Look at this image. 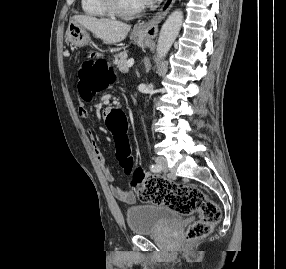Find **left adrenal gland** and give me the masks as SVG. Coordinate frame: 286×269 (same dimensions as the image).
Here are the masks:
<instances>
[{"label":"left adrenal gland","mask_w":286,"mask_h":269,"mask_svg":"<svg viewBox=\"0 0 286 269\" xmlns=\"http://www.w3.org/2000/svg\"><path fill=\"white\" fill-rule=\"evenodd\" d=\"M136 73H137V75L139 76V73H138V71H136Z\"/></svg>","instance_id":"obj_1"}]
</instances>
